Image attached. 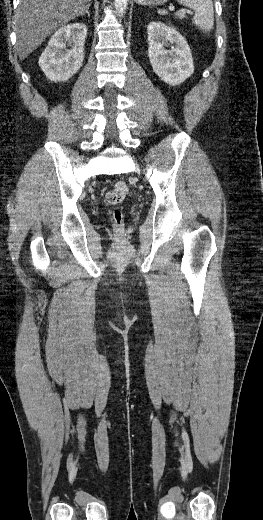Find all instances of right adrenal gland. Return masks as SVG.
Segmentation results:
<instances>
[{
	"instance_id": "2a0ac1e0",
	"label": "right adrenal gland",
	"mask_w": 263,
	"mask_h": 520,
	"mask_svg": "<svg viewBox=\"0 0 263 520\" xmlns=\"http://www.w3.org/2000/svg\"><path fill=\"white\" fill-rule=\"evenodd\" d=\"M85 15H87L88 17H90V16H91V15H90V11H89V8H88V9L86 10V12H85L84 14H82V16H85Z\"/></svg>"
}]
</instances>
